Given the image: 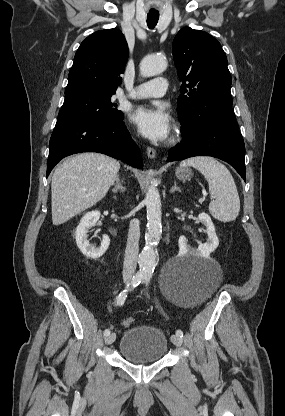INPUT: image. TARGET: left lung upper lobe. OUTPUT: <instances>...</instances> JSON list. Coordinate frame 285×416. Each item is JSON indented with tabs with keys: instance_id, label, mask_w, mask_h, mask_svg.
<instances>
[{
	"instance_id": "left-lung-upper-lobe-1",
	"label": "left lung upper lobe",
	"mask_w": 285,
	"mask_h": 416,
	"mask_svg": "<svg viewBox=\"0 0 285 416\" xmlns=\"http://www.w3.org/2000/svg\"><path fill=\"white\" fill-rule=\"evenodd\" d=\"M172 50L182 80L177 100L182 133L211 121L235 119L232 80L221 44L204 31L185 27L175 36Z\"/></svg>"
}]
</instances>
